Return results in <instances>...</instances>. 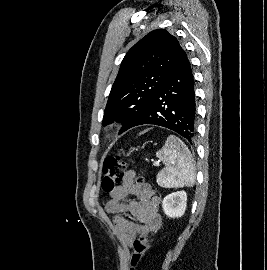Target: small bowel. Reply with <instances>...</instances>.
<instances>
[{"instance_id":"c3829d8e","label":"small bowel","mask_w":267,"mask_h":270,"mask_svg":"<svg viewBox=\"0 0 267 270\" xmlns=\"http://www.w3.org/2000/svg\"><path fill=\"white\" fill-rule=\"evenodd\" d=\"M134 176L133 171H128L105 205L106 211L114 215L112 224L116 236L127 248H133L138 236H147L161 226L160 199L149 184L136 182ZM126 212L136 222L127 219Z\"/></svg>"}]
</instances>
